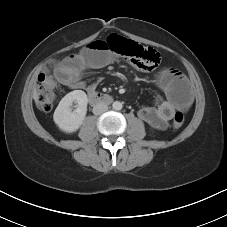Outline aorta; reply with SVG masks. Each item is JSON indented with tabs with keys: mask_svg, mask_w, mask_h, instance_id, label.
<instances>
[{
	"mask_svg": "<svg viewBox=\"0 0 227 227\" xmlns=\"http://www.w3.org/2000/svg\"><path fill=\"white\" fill-rule=\"evenodd\" d=\"M112 107L114 110H121L122 109V103L119 101H115L112 104Z\"/></svg>",
	"mask_w": 227,
	"mask_h": 227,
	"instance_id": "762f6f07",
	"label": "aorta"
}]
</instances>
